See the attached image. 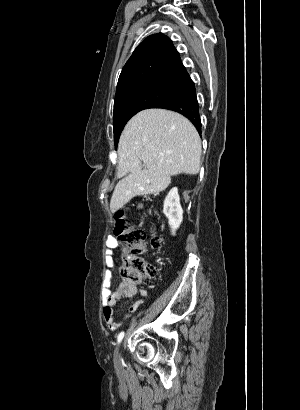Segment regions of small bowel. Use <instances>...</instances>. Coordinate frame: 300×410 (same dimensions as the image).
Masks as SVG:
<instances>
[{
  "mask_svg": "<svg viewBox=\"0 0 300 410\" xmlns=\"http://www.w3.org/2000/svg\"><path fill=\"white\" fill-rule=\"evenodd\" d=\"M106 246L109 250L107 259V269L102 288V315L106 324L111 329H115L119 326V321L114 316L115 304L123 298H131L138 295L135 302L129 307L128 312L124 315V318L128 317L131 313L135 312L139 306L143 303L147 293L143 289H139L135 283L120 282L116 288H112V274L116 267L115 260L112 257V251L118 248V242L115 238L109 237L106 241ZM125 253V250H122Z\"/></svg>",
  "mask_w": 300,
  "mask_h": 410,
  "instance_id": "c3829d8e",
  "label": "small bowel"
}]
</instances>
